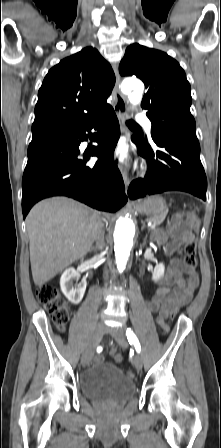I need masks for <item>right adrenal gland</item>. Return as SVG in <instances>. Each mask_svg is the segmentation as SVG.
I'll list each match as a JSON object with an SVG mask.
<instances>
[{
    "mask_svg": "<svg viewBox=\"0 0 221 448\" xmlns=\"http://www.w3.org/2000/svg\"><path fill=\"white\" fill-rule=\"evenodd\" d=\"M97 250V247H91V249H90V251H96Z\"/></svg>",
    "mask_w": 221,
    "mask_h": 448,
    "instance_id": "2a0ac1e0",
    "label": "right adrenal gland"
}]
</instances>
